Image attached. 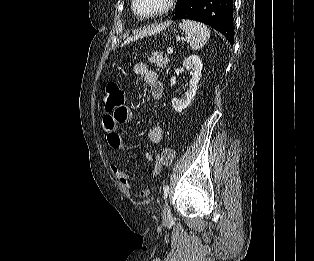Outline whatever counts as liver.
I'll return each instance as SVG.
<instances>
[{
    "instance_id": "6515ba94",
    "label": "liver",
    "mask_w": 314,
    "mask_h": 261,
    "mask_svg": "<svg viewBox=\"0 0 314 261\" xmlns=\"http://www.w3.org/2000/svg\"><path fill=\"white\" fill-rule=\"evenodd\" d=\"M145 35H146V32H142V33H140L139 35H136V36H134V37L127 38V39L124 41V43L122 44V46H124V45L130 43L131 41H134V40H136V39H138V38H141V37H143V36H145Z\"/></svg>"
}]
</instances>
